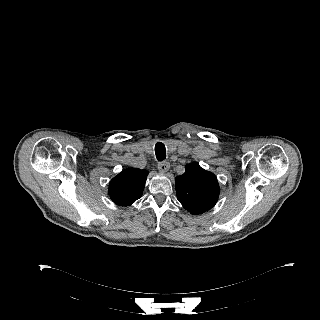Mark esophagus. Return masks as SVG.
<instances>
[{
    "label": "esophagus",
    "instance_id": "1",
    "mask_svg": "<svg viewBox=\"0 0 320 320\" xmlns=\"http://www.w3.org/2000/svg\"><path fill=\"white\" fill-rule=\"evenodd\" d=\"M169 168H170V164L167 161H163V162L158 163V169L161 172L165 173L169 170Z\"/></svg>",
    "mask_w": 320,
    "mask_h": 320
}]
</instances>
